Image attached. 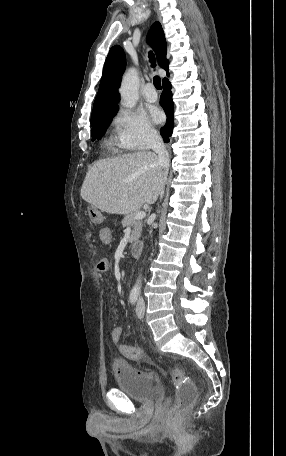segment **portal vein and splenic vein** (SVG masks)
I'll return each instance as SVG.
<instances>
[{
  "instance_id": "portal-vein-and-splenic-vein-1",
  "label": "portal vein and splenic vein",
  "mask_w": 286,
  "mask_h": 456,
  "mask_svg": "<svg viewBox=\"0 0 286 456\" xmlns=\"http://www.w3.org/2000/svg\"><path fill=\"white\" fill-rule=\"evenodd\" d=\"M146 216V213L144 211H138L135 214V219L140 220L143 219Z\"/></svg>"
}]
</instances>
